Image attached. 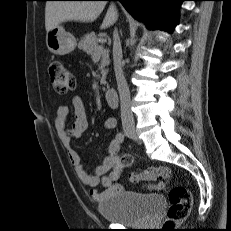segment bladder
<instances>
[{
    "label": "bladder",
    "mask_w": 231,
    "mask_h": 231,
    "mask_svg": "<svg viewBox=\"0 0 231 231\" xmlns=\"http://www.w3.org/2000/svg\"><path fill=\"white\" fill-rule=\"evenodd\" d=\"M165 207L166 202L161 195L141 196L123 193L101 201L98 211L111 223L138 226L156 219Z\"/></svg>",
    "instance_id": "bladder-1"
}]
</instances>
